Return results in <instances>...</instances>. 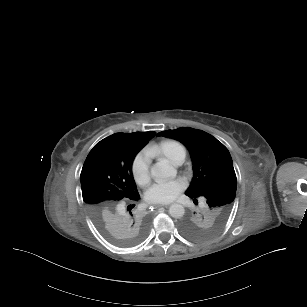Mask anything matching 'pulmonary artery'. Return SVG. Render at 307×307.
<instances>
[{"instance_id": "pulmonary-artery-1", "label": "pulmonary artery", "mask_w": 307, "mask_h": 307, "mask_svg": "<svg viewBox=\"0 0 307 307\" xmlns=\"http://www.w3.org/2000/svg\"><path fill=\"white\" fill-rule=\"evenodd\" d=\"M153 150L155 153H161L164 150L163 146L154 145ZM175 164L180 165L183 163L185 156L183 154H175L169 157ZM124 205V204H123Z\"/></svg>"}]
</instances>
